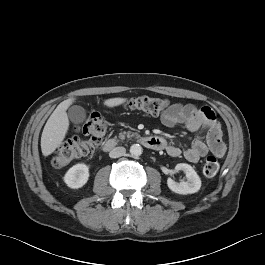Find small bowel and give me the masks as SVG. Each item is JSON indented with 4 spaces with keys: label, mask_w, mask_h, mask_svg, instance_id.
<instances>
[{
    "label": "small bowel",
    "mask_w": 265,
    "mask_h": 265,
    "mask_svg": "<svg viewBox=\"0 0 265 265\" xmlns=\"http://www.w3.org/2000/svg\"><path fill=\"white\" fill-rule=\"evenodd\" d=\"M161 122L166 127L183 125L190 132H205V137H196L191 146L182 151L179 147L165 141V149L172 157L183 154L184 158L196 163L209 152L217 157H222L226 152L222 141V132L215 119L214 111L209 106H195L193 104L173 103L161 117Z\"/></svg>",
    "instance_id": "small-bowel-1"
}]
</instances>
